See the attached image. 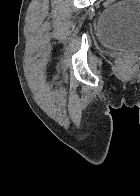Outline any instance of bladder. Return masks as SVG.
I'll use <instances>...</instances> for the list:
<instances>
[{
  "instance_id": "31cf9c89",
  "label": "bladder",
  "mask_w": 140,
  "mask_h": 196,
  "mask_svg": "<svg viewBox=\"0 0 140 196\" xmlns=\"http://www.w3.org/2000/svg\"><path fill=\"white\" fill-rule=\"evenodd\" d=\"M97 33L107 48L140 51V0H123L106 7L99 15Z\"/></svg>"
}]
</instances>
